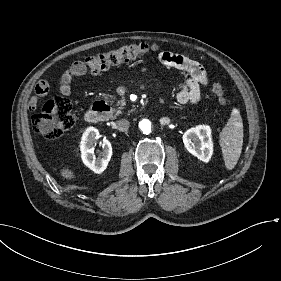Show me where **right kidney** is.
<instances>
[{"label":"right kidney","instance_id":"obj_1","mask_svg":"<svg viewBox=\"0 0 281 281\" xmlns=\"http://www.w3.org/2000/svg\"><path fill=\"white\" fill-rule=\"evenodd\" d=\"M100 137L98 129L88 127L82 134L80 142L81 158L83 163L94 173L100 174L106 168L112 156L111 143L103 140V151L101 157L96 158L94 154V143Z\"/></svg>","mask_w":281,"mask_h":281}]
</instances>
